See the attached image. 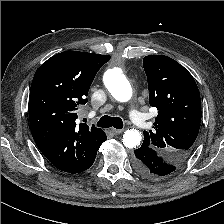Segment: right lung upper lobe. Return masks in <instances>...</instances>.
<instances>
[{"label": "right lung upper lobe", "mask_w": 224, "mask_h": 224, "mask_svg": "<svg viewBox=\"0 0 224 224\" xmlns=\"http://www.w3.org/2000/svg\"><path fill=\"white\" fill-rule=\"evenodd\" d=\"M109 60V55L65 51L49 58L34 75L28 105L32 136L61 171H84L107 139L100 128L76 126L75 120L97 71Z\"/></svg>", "instance_id": "cb5924a9"}]
</instances>
